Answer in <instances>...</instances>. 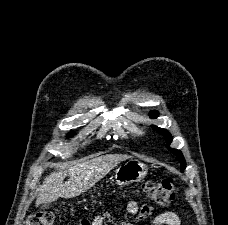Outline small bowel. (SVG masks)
<instances>
[{
	"instance_id": "c3829d8e",
	"label": "small bowel",
	"mask_w": 228,
	"mask_h": 225,
	"mask_svg": "<svg viewBox=\"0 0 228 225\" xmlns=\"http://www.w3.org/2000/svg\"><path fill=\"white\" fill-rule=\"evenodd\" d=\"M151 208L152 203H145V205L141 208L142 212L140 213V217L145 219L150 217L151 215ZM126 211L129 214H136L139 211L138 203L134 200H130L126 203ZM105 216L104 215H98L96 216L92 222H89L88 220H83V223L81 225H104ZM123 225H135V222H124ZM150 225H182L181 218L178 214L172 211H166L159 213L155 215L151 221Z\"/></svg>"
}]
</instances>
